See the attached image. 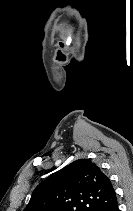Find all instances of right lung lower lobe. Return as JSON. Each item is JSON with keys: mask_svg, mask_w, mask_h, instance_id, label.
Segmentation results:
<instances>
[{"mask_svg": "<svg viewBox=\"0 0 133 211\" xmlns=\"http://www.w3.org/2000/svg\"><path fill=\"white\" fill-rule=\"evenodd\" d=\"M109 211H118V204L113 206Z\"/></svg>", "mask_w": 133, "mask_h": 211, "instance_id": "98d812e1", "label": "right lung lower lobe"}]
</instances>
